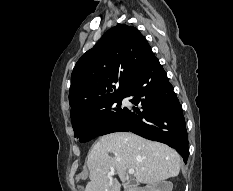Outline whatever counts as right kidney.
Returning <instances> with one entry per match:
<instances>
[{"mask_svg":"<svg viewBox=\"0 0 233 191\" xmlns=\"http://www.w3.org/2000/svg\"><path fill=\"white\" fill-rule=\"evenodd\" d=\"M173 184L170 181H162L150 187L149 191H172Z\"/></svg>","mask_w":233,"mask_h":191,"instance_id":"ca27d5eb","label":"right kidney"}]
</instances>
